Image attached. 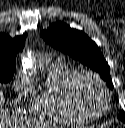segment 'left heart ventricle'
I'll return each mask as SVG.
<instances>
[{
  "mask_svg": "<svg viewBox=\"0 0 125 128\" xmlns=\"http://www.w3.org/2000/svg\"><path fill=\"white\" fill-rule=\"evenodd\" d=\"M79 93L85 106L89 110L93 112H99L102 110L104 97L95 85L86 81L81 85Z\"/></svg>",
  "mask_w": 125,
  "mask_h": 128,
  "instance_id": "obj_1",
  "label": "left heart ventricle"
}]
</instances>
